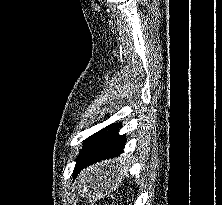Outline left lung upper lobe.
Wrapping results in <instances>:
<instances>
[{
  "instance_id": "left-lung-upper-lobe-1",
  "label": "left lung upper lobe",
  "mask_w": 222,
  "mask_h": 205,
  "mask_svg": "<svg viewBox=\"0 0 222 205\" xmlns=\"http://www.w3.org/2000/svg\"><path fill=\"white\" fill-rule=\"evenodd\" d=\"M101 131L93 134L92 136L88 137L85 142L83 143L82 150L77 158V162L80 161L82 158H84L87 153L91 150V148L94 146L99 134Z\"/></svg>"
}]
</instances>
